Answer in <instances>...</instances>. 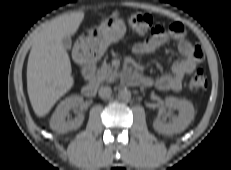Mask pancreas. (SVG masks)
Listing matches in <instances>:
<instances>
[{
    "mask_svg": "<svg viewBox=\"0 0 231 170\" xmlns=\"http://www.w3.org/2000/svg\"><path fill=\"white\" fill-rule=\"evenodd\" d=\"M95 77L99 82H113L119 77V74L117 73V68L111 66L110 64L103 63L101 68L96 72Z\"/></svg>",
    "mask_w": 231,
    "mask_h": 170,
    "instance_id": "pancreas-1",
    "label": "pancreas"
}]
</instances>
